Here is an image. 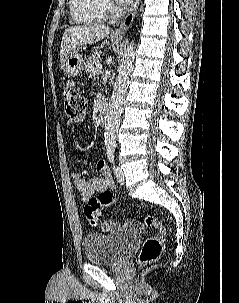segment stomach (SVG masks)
Returning a JSON list of instances; mask_svg holds the SVG:
<instances>
[{"instance_id":"stomach-1","label":"stomach","mask_w":239,"mask_h":303,"mask_svg":"<svg viewBox=\"0 0 239 303\" xmlns=\"http://www.w3.org/2000/svg\"><path fill=\"white\" fill-rule=\"evenodd\" d=\"M61 66L68 75L77 76L84 69V60L78 50L74 48L62 57Z\"/></svg>"}]
</instances>
